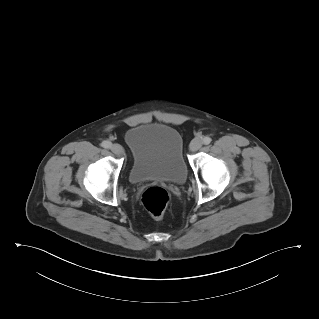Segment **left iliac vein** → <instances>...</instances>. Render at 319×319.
<instances>
[{
  "mask_svg": "<svg viewBox=\"0 0 319 319\" xmlns=\"http://www.w3.org/2000/svg\"><path fill=\"white\" fill-rule=\"evenodd\" d=\"M202 147V141L199 138L193 139L190 143V150L195 152Z\"/></svg>",
  "mask_w": 319,
  "mask_h": 319,
  "instance_id": "1",
  "label": "left iliac vein"
}]
</instances>
